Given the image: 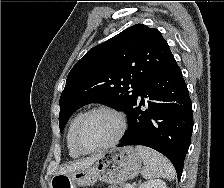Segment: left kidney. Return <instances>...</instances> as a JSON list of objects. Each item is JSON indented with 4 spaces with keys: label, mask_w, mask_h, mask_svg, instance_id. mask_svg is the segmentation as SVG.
Here are the masks:
<instances>
[{
    "label": "left kidney",
    "mask_w": 224,
    "mask_h": 188,
    "mask_svg": "<svg viewBox=\"0 0 224 188\" xmlns=\"http://www.w3.org/2000/svg\"><path fill=\"white\" fill-rule=\"evenodd\" d=\"M138 188H168L166 183L161 179L145 181Z\"/></svg>",
    "instance_id": "obj_1"
}]
</instances>
